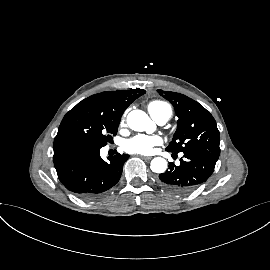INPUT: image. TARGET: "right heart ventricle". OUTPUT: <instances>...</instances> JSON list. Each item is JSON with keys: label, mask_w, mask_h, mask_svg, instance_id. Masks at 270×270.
I'll use <instances>...</instances> for the list:
<instances>
[{"label": "right heart ventricle", "mask_w": 270, "mask_h": 270, "mask_svg": "<svg viewBox=\"0 0 270 270\" xmlns=\"http://www.w3.org/2000/svg\"><path fill=\"white\" fill-rule=\"evenodd\" d=\"M148 110L153 118L160 116H168L170 118L172 109L170 105L164 101L154 100L148 104Z\"/></svg>", "instance_id": "e07e8e85"}]
</instances>
